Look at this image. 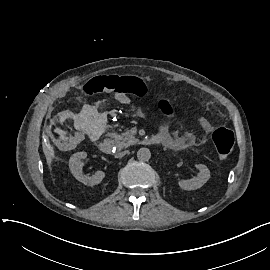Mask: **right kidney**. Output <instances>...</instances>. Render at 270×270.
<instances>
[{
  "label": "right kidney",
  "mask_w": 270,
  "mask_h": 270,
  "mask_svg": "<svg viewBox=\"0 0 270 270\" xmlns=\"http://www.w3.org/2000/svg\"><path fill=\"white\" fill-rule=\"evenodd\" d=\"M87 157L86 152H77L70 157L69 160V168L73 176L80 182L88 186H94L99 184L103 178L105 177V173L103 171H97L91 177L87 175H83L82 167L83 163L81 159H85Z\"/></svg>",
  "instance_id": "ca27d5eb"
}]
</instances>
